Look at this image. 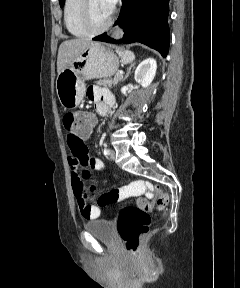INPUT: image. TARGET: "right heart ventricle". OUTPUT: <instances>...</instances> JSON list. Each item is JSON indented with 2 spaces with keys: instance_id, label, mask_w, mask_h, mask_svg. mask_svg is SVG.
Wrapping results in <instances>:
<instances>
[{
  "instance_id": "obj_1",
  "label": "right heart ventricle",
  "mask_w": 240,
  "mask_h": 288,
  "mask_svg": "<svg viewBox=\"0 0 240 288\" xmlns=\"http://www.w3.org/2000/svg\"><path fill=\"white\" fill-rule=\"evenodd\" d=\"M82 0H65L64 23L68 32L75 37H86L89 33L80 22V8Z\"/></svg>"
}]
</instances>
